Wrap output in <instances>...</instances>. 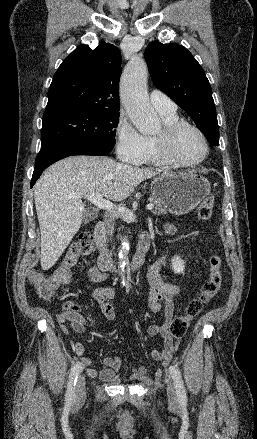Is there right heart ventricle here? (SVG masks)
Wrapping results in <instances>:
<instances>
[{
    "label": "right heart ventricle",
    "instance_id": "e07e8e85",
    "mask_svg": "<svg viewBox=\"0 0 257 439\" xmlns=\"http://www.w3.org/2000/svg\"><path fill=\"white\" fill-rule=\"evenodd\" d=\"M163 123L164 124H168V123H173L179 120L178 116L176 113L173 114H161L159 113ZM145 141H146V150L144 155L142 156V158L137 161V164H164V160L162 158V156L160 155L157 146H156V142H155V136H145Z\"/></svg>",
    "mask_w": 257,
    "mask_h": 439
}]
</instances>
